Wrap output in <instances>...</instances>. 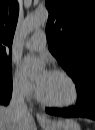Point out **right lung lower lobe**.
<instances>
[{
    "instance_id": "right-lung-lower-lobe-1",
    "label": "right lung lower lobe",
    "mask_w": 95,
    "mask_h": 130,
    "mask_svg": "<svg viewBox=\"0 0 95 130\" xmlns=\"http://www.w3.org/2000/svg\"><path fill=\"white\" fill-rule=\"evenodd\" d=\"M12 84L6 87H0V104L7 105L11 98Z\"/></svg>"
}]
</instances>
